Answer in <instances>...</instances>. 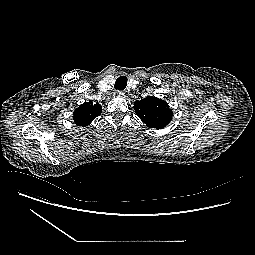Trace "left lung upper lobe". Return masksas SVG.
Here are the masks:
<instances>
[{
    "label": "left lung upper lobe",
    "instance_id": "left-lung-upper-lobe-1",
    "mask_svg": "<svg viewBox=\"0 0 255 255\" xmlns=\"http://www.w3.org/2000/svg\"><path fill=\"white\" fill-rule=\"evenodd\" d=\"M133 108L149 128L161 129L170 123L173 116L168 103L154 96L135 101Z\"/></svg>",
    "mask_w": 255,
    "mask_h": 255
}]
</instances>
